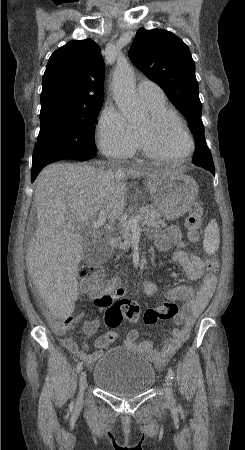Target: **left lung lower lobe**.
<instances>
[{"label":"left lung lower lobe","instance_id":"obj_1","mask_svg":"<svg viewBox=\"0 0 245 450\" xmlns=\"http://www.w3.org/2000/svg\"><path fill=\"white\" fill-rule=\"evenodd\" d=\"M206 151H209V149L207 147H202L201 145H196V152H195L194 156L202 157L206 154ZM202 167L208 169L213 175H215V168H214L213 161L210 163V165L202 166Z\"/></svg>","mask_w":245,"mask_h":450}]
</instances>
